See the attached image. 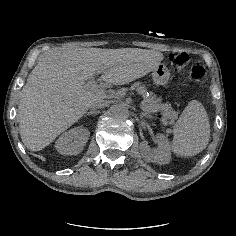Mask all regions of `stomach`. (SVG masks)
<instances>
[{
    "instance_id": "stomach-1",
    "label": "stomach",
    "mask_w": 236,
    "mask_h": 236,
    "mask_svg": "<svg viewBox=\"0 0 236 236\" xmlns=\"http://www.w3.org/2000/svg\"><path fill=\"white\" fill-rule=\"evenodd\" d=\"M169 77V70L164 65H159L152 73V79L156 85H165Z\"/></svg>"
}]
</instances>
